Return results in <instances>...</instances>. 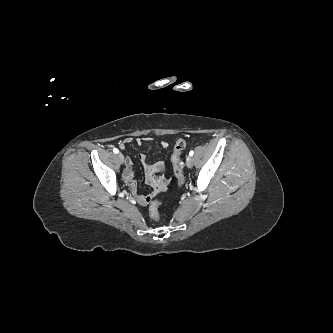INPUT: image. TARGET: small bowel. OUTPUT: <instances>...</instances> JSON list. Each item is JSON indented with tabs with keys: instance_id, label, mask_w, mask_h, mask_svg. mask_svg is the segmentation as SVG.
<instances>
[{
	"instance_id": "1",
	"label": "small bowel",
	"mask_w": 333,
	"mask_h": 333,
	"mask_svg": "<svg viewBox=\"0 0 333 333\" xmlns=\"http://www.w3.org/2000/svg\"><path fill=\"white\" fill-rule=\"evenodd\" d=\"M147 138H136V144L142 145ZM133 141L132 137H127L121 144L120 148H124L126 144ZM163 148H168L169 143L167 141H161ZM139 160L145 165V176L146 182L151 187V192L148 195H137V183L134 180L133 162L130 158H126L125 171L123 173V179L131 191L134 193L135 198L141 206H146L157 194L167 189L169 178L166 175L156 176L157 173L164 171L165 163L163 161H157L154 163H147L146 156L143 154L139 155Z\"/></svg>"
}]
</instances>
